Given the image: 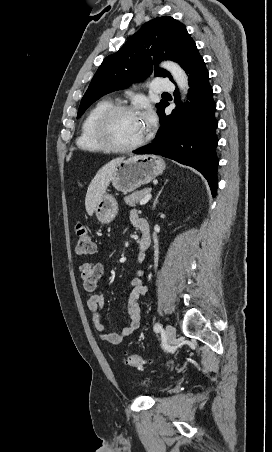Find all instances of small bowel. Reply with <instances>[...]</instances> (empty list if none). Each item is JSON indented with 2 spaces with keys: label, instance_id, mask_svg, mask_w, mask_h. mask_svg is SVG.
Wrapping results in <instances>:
<instances>
[{
  "label": "small bowel",
  "instance_id": "small-bowel-1",
  "mask_svg": "<svg viewBox=\"0 0 272 452\" xmlns=\"http://www.w3.org/2000/svg\"><path fill=\"white\" fill-rule=\"evenodd\" d=\"M138 215L136 211L131 212V221L136 226ZM141 258V257H140ZM80 278L84 290L89 293L87 298V307L91 312L92 323L97 330L100 339L111 345H118L132 335L140 327L141 309L139 300L147 292L139 277L131 279L129 283V294L127 303V314L129 318L128 325L121 332H111L102 322L100 309L104 306L105 297L102 293L95 292L99 279L104 274V265L102 263H82L79 265Z\"/></svg>",
  "mask_w": 272,
  "mask_h": 452
}]
</instances>
